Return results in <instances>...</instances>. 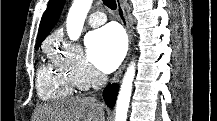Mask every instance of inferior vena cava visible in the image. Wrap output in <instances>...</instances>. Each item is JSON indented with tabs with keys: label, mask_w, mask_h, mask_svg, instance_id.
Segmentation results:
<instances>
[{
	"label": "inferior vena cava",
	"mask_w": 217,
	"mask_h": 121,
	"mask_svg": "<svg viewBox=\"0 0 217 121\" xmlns=\"http://www.w3.org/2000/svg\"><path fill=\"white\" fill-rule=\"evenodd\" d=\"M107 82V77L103 74H97L96 77L93 79L92 85L93 88L98 89L103 87Z\"/></svg>",
	"instance_id": "1"
}]
</instances>
